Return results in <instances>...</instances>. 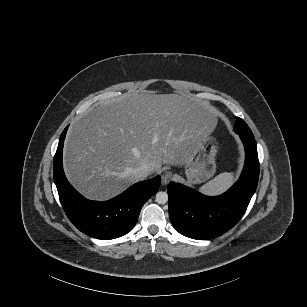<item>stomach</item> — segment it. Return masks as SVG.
<instances>
[{
  "mask_svg": "<svg viewBox=\"0 0 307 307\" xmlns=\"http://www.w3.org/2000/svg\"><path fill=\"white\" fill-rule=\"evenodd\" d=\"M220 144L212 135L201 137L185 161V176L190 186L201 184L217 172V157Z\"/></svg>",
  "mask_w": 307,
  "mask_h": 307,
  "instance_id": "obj_1",
  "label": "stomach"
}]
</instances>
